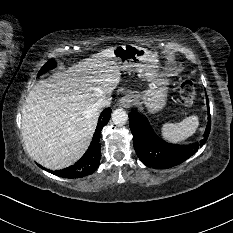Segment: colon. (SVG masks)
I'll return each mask as SVG.
<instances>
[{
	"mask_svg": "<svg viewBox=\"0 0 233 233\" xmlns=\"http://www.w3.org/2000/svg\"><path fill=\"white\" fill-rule=\"evenodd\" d=\"M181 103L184 106H191L195 101V88L193 82L189 79L183 80L179 86Z\"/></svg>",
	"mask_w": 233,
	"mask_h": 233,
	"instance_id": "5ec220e1",
	"label": "colon"
}]
</instances>
